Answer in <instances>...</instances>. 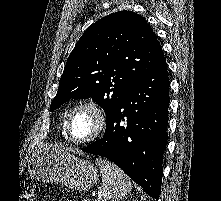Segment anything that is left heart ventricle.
I'll list each match as a JSON object with an SVG mask.
<instances>
[{
	"instance_id": "b2bd125f",
	"label": "left heart ventricle",
	"mask_w": 221,
	"mask_h": 201,
	"mask_svg": "<svg viewBox=\"0 0 221 201\" xmlns=\"http://www.w3.org/2000/svg\"><path fill=\"white\" fill-rule=\"evenodd\" d=\"M96 128L94 115L87 111H78L71 121V134L76 139H85L93 134Z\"/></svg>"
}]
</instances>
